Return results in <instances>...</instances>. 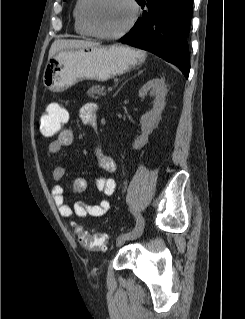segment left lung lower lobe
Returning <instances> with one entry per match:
<instances>
[{"mask_svg": "<svg viewBox=\"0 0 245 319\" xmlns=\"http://www.w3.org/2000/svg\"><path fill=\"white\" fill-rule=\"evenodd\" d=\"M147 9L121 43L150 51L176 65L187 78L190 70L187 36L193 0H136Z\"/></svg>", "mask_w": 245, "mask_h": 319, "instance_id": "left-lung-lower-lobe-1", "label": "left lung lower lobe"}]
</instances>
